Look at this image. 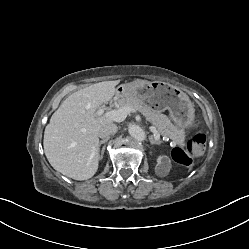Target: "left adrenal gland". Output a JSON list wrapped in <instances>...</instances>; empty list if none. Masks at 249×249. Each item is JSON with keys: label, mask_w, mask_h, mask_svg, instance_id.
Masks as SVG:
<instances>
[{"label": "left adrenal gland", "mask_w": 249, "mask_h": 249, "mask_svg": "<svg viewBox=\"0 0 249 249\" xmlns=\"http://www.w3.org/2000/svg\"><path fill=\"white\" fill-rule=\"evenodd\" d=\"M149 140L152 145L153 144L159 145L162 143L160 140H155L152 136H149Z\"/></svg>", "instance_id": "left-adrenal-gland-1"}]
</instances>
